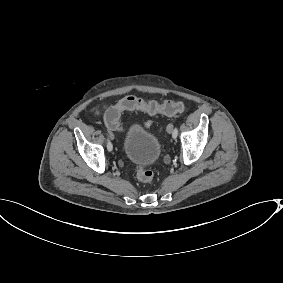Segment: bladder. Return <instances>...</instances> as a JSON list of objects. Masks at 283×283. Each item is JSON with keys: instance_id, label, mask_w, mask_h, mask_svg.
<instances>
[{"instance_id": "1", "label": "bladder", "mask_w": 283, "mask_h": 283, "mask_svg": "<svg viewBox=\"0 0 283 283\" xmlns=\"http://www.w3.org/2000/svg\"><path fill=\"white\" fill-rule=\"evenodd\" d=\"M161 149V138L136 123L128 125L122 135V153L132 165H153L160 157Z\"/></svg>"}]
</instances>
